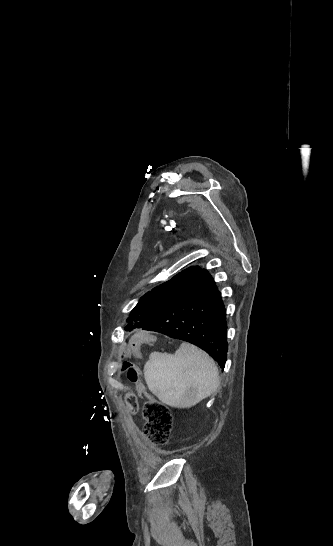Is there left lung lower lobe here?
Segmentation results:
<instances>
[{
  "label": "left lung lower lobe",
  "mask_w": 333,
  "mask_h": 546,
  "mask_svg": "<svg viewBox=\"0 0 333 546\" xmlns=\"http://www.w3.org/2000/svg\"><path fill=\"white\" fill-rule=\"evenodd\" d=\"M125 330L140 328L133 317ZM146 330L190 342L205 350L220 365L227 360L226 309L210 274L201 269L192 284L173 302L161 309Z\"/></svg>",
  "instance_id": "1"
}]
</instances>
